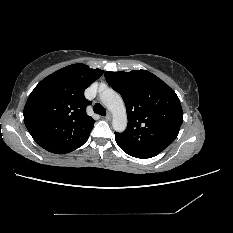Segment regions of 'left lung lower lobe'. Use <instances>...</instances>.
<instances>
[{"label": "left lung lower lobe", "instance_id": "1", "mask_svg": "<svg viewBox=\"0 0 233 233\" xmlns=\"http://www.w3.org/2000/svg\"><path fill=\"white\" fill-rule=\"evenodd\" d=\"M116 140V138H115ZM117 144L118 146L124 151L126 152L127 154L133 156V157H137V158H142V159H145V158H150V157H153V156H148V155H142V154H137L135 153L133 150L129 149V148H126L125 146L121 145L119 141H117Z\"/></svg>", "mask_w": 233, "mask_h": 233}]
</instances>
